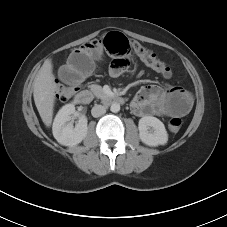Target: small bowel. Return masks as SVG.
<instances>
[{"instance_id": "obj_1", "label": "small bowel", "mask_w": 227, "mask_h": 227, "mask_svg": "<svg viewBox=\"0 0 227 227\" xmlns=\"http://www.w3.org/2000/svg\"><path fill=\"white\" fill-rule=\"evenodd\" d=\"M102 50L72 52L67 62L57 69L58 79L67 86L81 85L98 71L97 60L101 59ZM133 62L128 57L116 58L111 63L110 75L121 76L130 69ZM131 107L138 116H183L192 107L191 95L180 87L163 89L157 85H145L135 95Z\"/></svg>"}]
</instances>
